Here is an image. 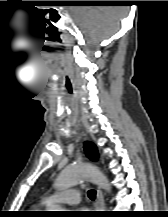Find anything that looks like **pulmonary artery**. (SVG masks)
Returning <instances> with one entry per match:
<instances>
[{"label":"pulmonary artery","mask_w":168,"mask_h":217,"mask_svg":"<svg viewBox=\"0 0 168 217\" xmlns=\"http://www.w3.org/2000/svg\"><path fill=\"white\" fill-rule=\"evenodd\" d=\"M80 202V193L76 190L54 193L44 198L43 203L46 205L61 203L67 205H77Z\"/></svg>","instance_id":"e3ab8cb5"}]
</instances>
